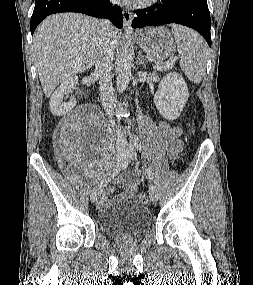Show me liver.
I'll return each instance as SVG.
<instances>
[{
	"instance_id": "1",
	"label": "liver",
	"mask_w": 253,
	"mask_h": 285,
	"mask_svg": "<svg viewBox=\"0 0 253 285\" xmlns=\"http://www.w3.org/2000/svg\"><path fill=\"white\" fill-rule=\"evenodd\" d=\"M100 21L78 13L47 17L34 34V57L44 94L49 97L60 82L92 67L99 49ZM118 46L119 32L110 29Z\"/></svg>"
}]
</instances>
